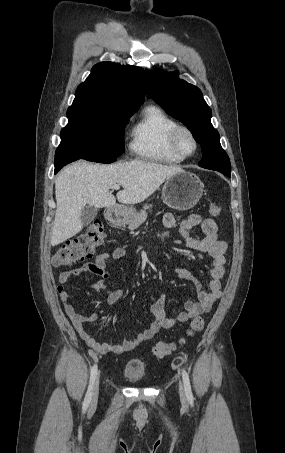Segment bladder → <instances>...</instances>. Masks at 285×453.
Instances as JSON below:
<instances>
[{
  "instance_id": "1",
  "label": "bladder",
  "mask_w": 285,
  "mask_h": 453,
  "mask_svg": "<svg viewBox=\"0 0 285 453\" xmlns=\"http://www.w3.org/2000/svg\"><path fill=\"white\" fill-rule=\"evenodd\" d=\"M145 367L138 361L128 362L123 370L124 376L132 381H140L145 377Z\"/></svg>"
}]
</instances>
